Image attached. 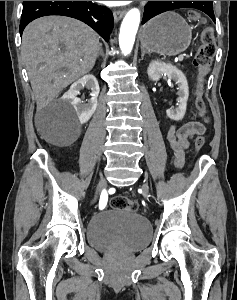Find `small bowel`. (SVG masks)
Masks as SVG:
<instances>
[{
	"label": "small bowel",
	"instance_id": "c3829d8e",
	"mask_svg": "<svg viewBox=\"0 0 237 300\" xmlns=\"http://www.w3.org/2000/svg\"><path fill=\"white\" fill-rule=\"evenodd\" d=\"M204 133V126L198 121H188L180 126L172 125L167 133V139L175 151V166L181 168L184 163V150L190 145V140Z\"/></svg>",
	"mask_w": 237,
	"mask_h": 300
}]
</instances>
